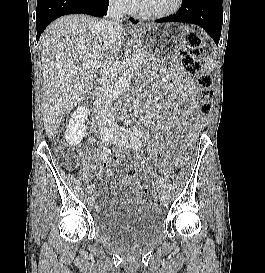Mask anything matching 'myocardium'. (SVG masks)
<instances>
[{
    "label": "myocardium",
    "mask_w": 265,
    "mask_h": 273,
    "mask_svg": "<svg viewBox=\"0 0 265 273\" xmlns=\"http://www.w3.org/2000/svg\"><path fill=\"white\" fill-rule=\"evenodd\" d=\"M182 4H183V0H176L175 5L171 9L167 11H163V12H155V11H151L147 9L143 1L141 0L139 4V13L146 18H153V19L167 18L177 13L181 9Z\"/></svg>",
    "instance_id": "1"
}]
</instances>
